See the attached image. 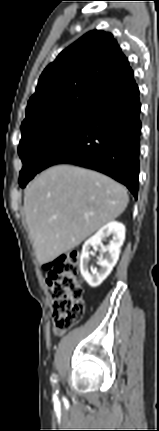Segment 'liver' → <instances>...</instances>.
<instances>
[{
  "label": "liver",
  "mask_w": 159,
  "mask_h": 431,
  "mask_svg": "<svg viewBox=\"0 0 159 431\" xmlns=\"http://www.w3.org/2000/svg\"><path fill=\"white\" fill-rule=\"evenodd\" d=\"M127 190L111 178L71 165L53 166L27 187L24 213L36 258L46 264L119 217Z\"/></svg>",
  "instance_id": "6515ba94"
}]
</instances>
